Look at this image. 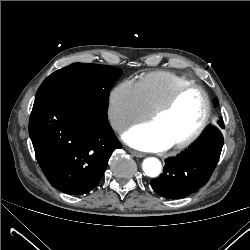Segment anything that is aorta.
<instances>
[{"label":"aorta","mask_w":250,"mask_h":250,"mask_svg":"<svg viewBox=\"0 0 250 250\" xmlns=\"http://www.w3.org/2000/svg\"><path fill=\"white\" fill-rule=\"evenodd\" d=\"M143 171L149 177H156L161 172V163L157 158L150 157L143 161Z\"/></svg>","instance_id":"aorta-1"}]
</instances>
